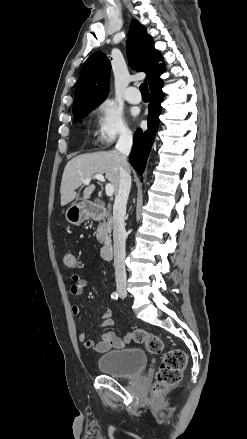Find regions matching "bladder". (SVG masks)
<instances>
[{"mask_svg": "<svg viewBox=\"0 0 247 439\" xmlns=\"http://www.w3.org/2000/svg\"><path fill=\"white\" fill-rule=\"evenodd\" d=\"M148 363L146 353L137 348L113 350L102 355L98 361V369L107 375L132 379L140 376Z\"/></svg>", "mask_w": 247, "mask_h": 439, "instance_id": "obj_1", "label": "bladder"}]
</instances>
